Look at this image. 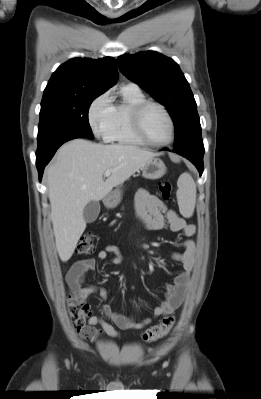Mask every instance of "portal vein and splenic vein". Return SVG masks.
<instances>
[{"label": "portal vein and splenic vein", "instance_id": "18ae733b", "mask_svg": "<svg viewBox=\"0 0 261 399\" xmlns=\"http://www.w3.org/2000/svg\"><path fill=\"white\" fill-rule=\"evenodd\" d=\"M111 173H112L111 170H107V171H105L104 176L109 177L111 175Z\"/></svg>", "mask_w": 261, "mask_h": 399}]
</instances>
